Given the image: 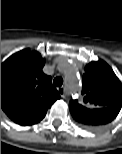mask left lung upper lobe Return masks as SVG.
<instances>
[{
    "label": "left lung upper lobe",
    "instance_id": "1",
    "mask_svg": "<svg viewBox=\"0 0 122 154\" xmlns=\"http://www.w3.org/2000/svg\"><path fill=\"white\" fill-rule=\"evenodd\" d=\"M82 95L79 103L71 100L69 108L72 116L82 125L88 126V118L99 116L101 109H121L122 85L110 66L100 60L86 65L82 79Z\"/></svg>",
    "mask_w": 122,
    "mask_h": 154
}]
</instances>
